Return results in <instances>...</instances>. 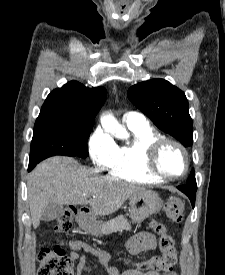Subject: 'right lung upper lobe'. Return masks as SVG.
<instances>
[{"label":"right lung upper lobe","instance_id":"1","mask_svg":"<svg viewBox=\"0 0 225 275\" xmlns=\"http://www.w3.org/2000/svg\"><path fill=\"white\" fill-rule=\"evenodd\" d=\"M106 95L104 87L88 88L77 81H70L48 95L37 120L73 119L94 122Z\"/></svg>","mask_w":225,"mask_h":275}]
</instances>
